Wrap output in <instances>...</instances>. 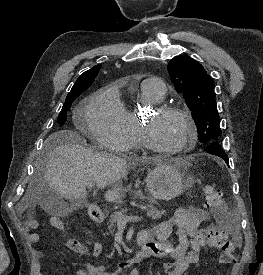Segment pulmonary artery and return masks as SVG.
Segmentation results:
<instances>
[{
    "instance_id": "1",
    "label": "pulmonary artery",
    "mask_w": 263,
    "mask_h": 275,
    "mask_svg": "<svg viewBox=\"0 0 263 275\" xmlns=\"http://www.w3.org/2000/svg\"><path fill=\"white\" fill-rule=\"evenodd\" d=\"M146 87L150 88L158 99H162L165 94V86L160 78L153 77L146 79L143 83Z\"/></svg>"
}]
</instances>
